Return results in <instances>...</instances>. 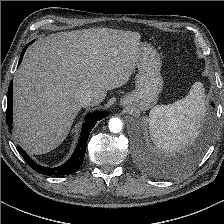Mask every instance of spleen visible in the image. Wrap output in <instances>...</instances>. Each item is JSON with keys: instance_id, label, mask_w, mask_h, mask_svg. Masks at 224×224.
<instances>
[{"instance_id": "spleen-1", "label": "spleen", "mask_w": 224, "mask_h": 224, "mask_svg": "<svg viewBox=\"0 0 224 224\" xmlns=\"http://www.w3.org/2000/svg\"><path fill=\"white\" fill-rule=\"evenodd\" d=\"M206 114L203 84L195 82L188 95L150 111L149 127L153 143L166 152L183 148L198 136Z\"/></svg>"}]
</instances>
